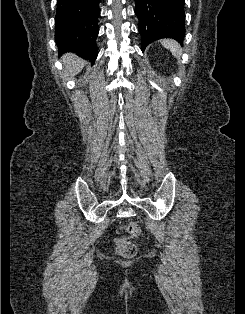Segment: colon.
Wrapping results in <instances>:
<instances>
[{"mask_svg":"<svg viewBox=\"0 0 245 314\" xmlns=\"http://www.w3.org/2000/svg\"><path fill=\"white\" fill-rule=\"evenodd\" d=\"M123 230L130 236L140 235V226L135 222H128L123 226ZM116 250L124 258H132L137 252L136 245L126 236L116 237L114 240Z\"/></svg>","mask_w":245,"mask_h":314,"instance_id":"1","label":"colon"}]
</instances>
